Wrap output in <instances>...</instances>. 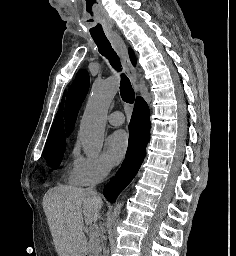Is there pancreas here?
I'll return each mask as SVG.
<instances>
[{
    "mask_svg": "<svg viewBox=\"0 0 236 256\" xmlns=\"http://www.w3.org/2000/svg\"><path fill=\"white\" fill-rule=\"evenodd\" d=\"M100 232L101 226H94V229H91V234H89V248H91V254H98L101 250Z\"/></svg>",
    "mask_w": 236,
    "mask_h": 256,
    "instance_id": "cf45deb5",
    "label": "pancreas"
}]
</instances>
